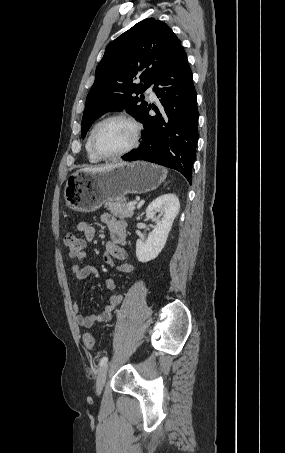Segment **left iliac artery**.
<instances>
[{
	"label": "left iliac artery",
	"mask_w": 285,
	"mask_h": 453,
	"mask_svg": "<svg viewBox=\"0 0 285 453\" xmlns=\"http://www.w3.org/2000/svg\"><path fill=\"white\" fill-rule=\"evenodd\" d=\"M107 361H108V357H106V356L103 357V358L100 360V363H99L100 367H102L103 365H105V364L107 363Z\"/></svg>",
	"instance_id": "1"
}]
</instances>
